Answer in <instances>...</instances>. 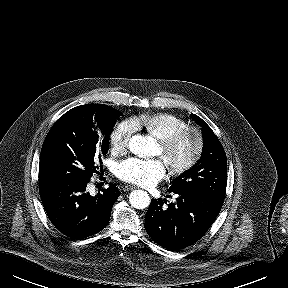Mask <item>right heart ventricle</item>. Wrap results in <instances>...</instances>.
Returning a JSON list of instances; mask_svg holds the SVG:
<instances>
[{"label":"right heart ventricle","instance_id":"1","mask_svg":"<svg viewBox=\"0 0 288 288\" xmlns=\"http://www.w3.org/2000/svg\"><path fill=\"white\" fill-rule=\"evenodd\" d=\"M132 122L136 128H143L158 139L187 125L183 118L172 113L141 115Z\"/></svg>","mask_w":288,"mask_h":288}]
</instances>
